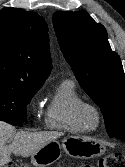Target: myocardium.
<instances>
[{
  "label": "myocardium",
  "instance_id": "myocardium-1",
  "mask_svg": "<svg viewBox=\"0 0 125 167\" xmlns=\"http://www.w3.org/2000/svg\"><path fill=\"white\" fill-rule=\"evenodd\" d=\"M91 112L95 116V124L90 125L87 122V114ZM77 118L80 121V123L83 125L85 130H96L101 122V115L98 110V108L89 102H83L77 109Z\"/></svg>",
  "mask_w": 125,
  "mask_h": 167
}]
</instances>
